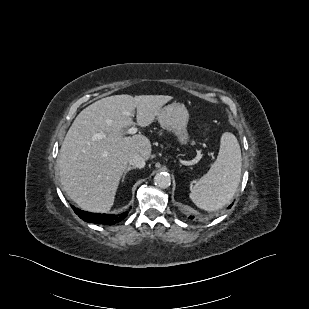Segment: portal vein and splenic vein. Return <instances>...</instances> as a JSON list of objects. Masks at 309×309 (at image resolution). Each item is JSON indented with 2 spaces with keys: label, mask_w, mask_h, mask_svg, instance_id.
<instances>
[{
  "label": "portal vein and splenic vein",
  "mask_w": 309,
  "mask_h": 309,
  "mask_svg": "<svg viewBox=\"0 0 309 309\" xmlns=\"http://www.w3.org/2000/svg\"><path fill=\"white\" fill-rule=\"evenodd\" d=\"M136 132H137V129L132 127L130 129H128L125 133H127V134H134ZM95 138H102V135L101 134H97V135H95ZM200 158H201V155H197L196 159L200 160Z\"/></svg>",
  "instance_id": "portal-vein-and-splenic-vein-1"
}]
</instances>
